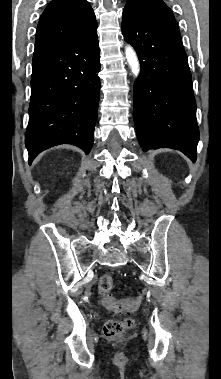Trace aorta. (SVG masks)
Returning a JSON list of instances; mask_svg holds the SVG:
<instances>
[{"instance_id":"1","label":"aorta","mask_w":221,"mask_h":379,"mask_svg":"<svg viewBox=\"0 0 221 379\" xmlns=\"http://www.w3.org/2000/svg\"><path fill=\"white\" fill-rule=\"evenodd\" d=\"M126 58L131 68L132 73L138 75L139 73V61L134 49L131 46H127L125 49Z\"/></svg>"}]
</instances>
